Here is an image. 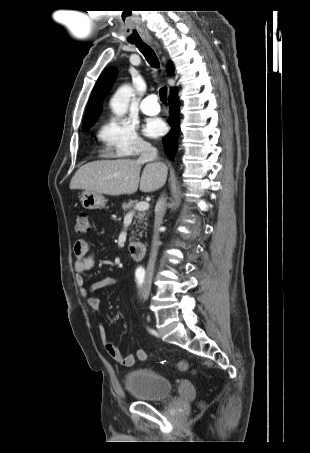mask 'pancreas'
<instances>
[{
	"label": "pancreas",
	"instance_id": "cf45deb5",
	"mask_svg": "<svg viewBox=\"0 0 310 453\" xmlns=\"http://www.w3.org/2000/svg\"><path fill=\"white\" fill-rule=\"evenodd\" d=\"M136 204H137V201H133V200H130L128 203L124 202L122 204V209L124 212L130 211L132 208H135ZM134 214H135L134 215L135 220H134L133 224H135V226L137 228L136 232H139V236L142 237L143 231H139L138 228L145 229V227L141 226V224L147 225V223H146L147 213L145 211H139ZM136 232H134V231L131 232L132 236L130 237V240L134 239V235L136 234Z\"/></svg>",
	"mask_w": 310,
	"mask_h": 453
}]
</instances>
